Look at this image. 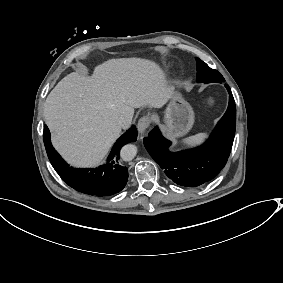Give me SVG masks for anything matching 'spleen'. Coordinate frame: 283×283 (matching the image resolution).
Returning a JSON list of instances; mask_svg holds the SVG:
<instances>
[{
    "label": "spleen",
    "instance_id": "1",
    "mask_svg": "<svg viewBox=\"0 0 283 283\" xmlns=\"http://www.w3.org/2000/svg\"><path fill=\"white\" fill-rule=\"evenodd\" d=\"M203 136H204L203 134H198V135L192 137L191 140H193V141H200Z\"/></svg>",
    "mask_w": 283,
    "mask_h": 283
}]
</instances>
